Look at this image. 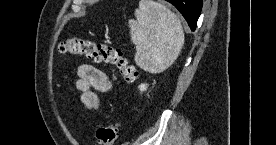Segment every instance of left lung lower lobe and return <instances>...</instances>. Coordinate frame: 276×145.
Returning a JSON list of instances; mask_svg holds the SVG:
<instances>
[{
	"mask_svg": "<svg viewBox=\"0 0 276 145\" xmlns=\"http://www.w3.org/2000/svg\"><path fill=\"white\" fill-rule=\"evenodd\" d=\"M173 4L188 22L192 31L196 29L197 20L200 16L202 0H166Z\"/></svg>",
	"mask_w": 276,
	"mask_h": 145,
	"instance_id": "0a47b994",
	"label": "left lung lower lobe"
}]
</instances>
